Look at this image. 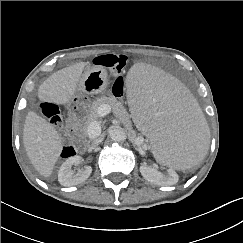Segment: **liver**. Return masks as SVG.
Instances as JSON below:
<instances>
[{"instance_id":"1","label":"liver","mask_w":243,"mask_h":243,"mask_svg":"<svg viewBox=\"0 0 243 243\" xmlns=\"http://www.w3.org/2000/svg\"><path fill=\"white\" fill-rule=\"evenodd\" d=\"M86 65V62H79L53 73L39 86V99L57 105L68 104L76 94ZM23 143L33 167L43 177H50L63 147L58 131L44 118L30 111L24 123Z\"/></svg>"}]
</instances>
